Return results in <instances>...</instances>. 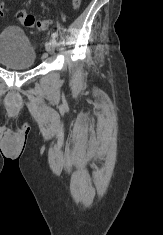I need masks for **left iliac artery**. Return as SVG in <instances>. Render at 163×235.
I'll use <instances>...</instances> for the list:
<instances>
[{
  "label": "left iliac artery",
  "mask_w": 163,
  "mask_h": 235,
  "mask_svg": "<svg viewBox=\"0 0 163 235\" xmlns=\"http://www.w3.org/2000/svg\"><path fill=\"white\" fill-rule=\"evenodd\" d=\"M52 41H53L54 44H56L55 35H52Z\"/></svg>",
  "instance_id": "left-iliac-artery-1"
}]
</instances>
